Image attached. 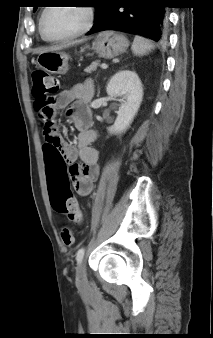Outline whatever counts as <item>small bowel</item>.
I'll use <instances>...</instances> for the list:
<instances>
[{"label": "small bowel", "instance_id": "small-bowel-1", "mask_svg": "<svg viewBox=\"0 0 213 338\" xmlns=\"http://www.w3.org/2000/svg\"><path fill=\"white\" fill-rule=\"evenodd\" d=\"M92 96L93 86L90 81L77 83L60 92L53 107L56 109L69 107L68 115L73 116V111L87 104ZM73 121L80 131L75 145H70L63 140L58 145L44 144L48 187L53 190L56 185L67 183L71 179L75 192L85 197L92 192L93 184L99 176V154L91 146L97 134L90 128V114L86 109L75 114ZM52 133L57 135L53 131ZM77 159L81 160L80 164L76 162Z\"/></svg>", "mask_w": 213, "mask_h": 338}]
</instances>
